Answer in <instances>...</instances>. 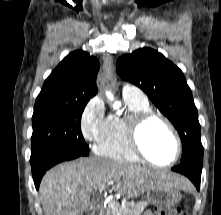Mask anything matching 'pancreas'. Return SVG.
Masks as SVG:
<instances>
[{
    "label": "pancreas",
    "instance_id": "cf45deb5",
    "mask_svg": "<svg viewBox=\"0 0 221 215\" xmlns=\"http://www.w3.org/2000/svg\"><path fill=\"white\" fill-rule=\"evenodd\" d=\"M147 202H127L124 206L115 204L114 207L108 206L105 210V215H140Z\"/></svg>",
    "mask_w": 221,
    "mask_h": 215
}]
</instances>
